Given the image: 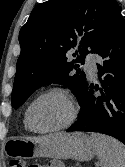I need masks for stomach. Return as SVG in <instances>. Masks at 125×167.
I'll list each match as a JSON object with an SVG mask.
<instances>
[{
    "label": "stomach",
    "instance_id": "obj_1",
    "mask_svg": "<svg viewBox=\"0 0 125 167\" xmlns=\"http://www.w3.org/2000/svg\"><path fill=\"white\" fill-rule=\"evenodd\" d=\"M8 143L13 147L10 153L22 158L47 157L53 159L91 160L95 154V144L88 135L56 133L42 137L13 138ZM7 151V153H9Z\"/></svg>",
    "mask_w": 125,
    "mask_h": 167
}]
</instances>
